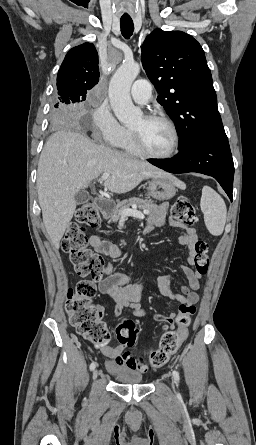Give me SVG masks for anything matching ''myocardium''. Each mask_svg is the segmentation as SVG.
<instances>
[{"instance_id": "1", "label": "myocardium", "mask_w": 256, "mask_h": 445, "mask_svg": "<svg viewBox=\"0 0 256 445\" xmlns=\"http://www.w3.org/2000/svg\"><path fill=\"white\" fill-rule=\"evenodd\" d=\"M143 117L147 121H162L165 124H167L172 132L173 143H172L171 149L167 153L154 154V153L150 152L145 147L139 133L130 129L132 141H133V144H134L136 150L139 152V154H141L147 158H151V159L163 160V159H169V158L173 157L176 154V152L179 148V144H180V137H179V133H178L175 123L166 115L158 114V113L146 114Z\"/></svg>"}]
</instances>
